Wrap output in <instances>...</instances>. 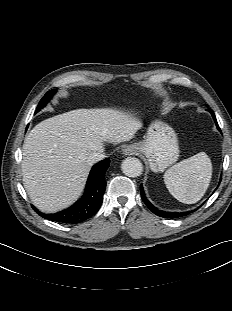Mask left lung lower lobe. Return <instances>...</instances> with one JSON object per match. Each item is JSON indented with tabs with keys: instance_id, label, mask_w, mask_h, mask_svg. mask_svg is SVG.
<instances>
[{
	"instance_id": "obj_1",
	"label": "left lung lower lobe",
	"mask_w": 232,
	"mask_h": 311,
	"mask_svg": "<svg viewBox=\"0 0 232 311\" xmlns=\"http://www.w3.org/2000/svg\"><path fill=\"white\" fill-rule=\"evenodd\" d=\"M207 110L211 113V115H212V117H213V119H214V121H215V123H216L217 128H218L219 131L221 132V130H220L219 126H218V123H217V120H216V117H215L214 112H213L211 109H207ZM140 192H141V197H142L144 203L147 205V207H148L154 214H156V215H158V216H160V217H164V218H178V217H182V216H184V215H187V214L189 213V212H164V211H160V210H158L157 208H155V207L146 199L145 194H144V191H143L142 185L140 186Z\"/></svg>"
}]
</instances>
